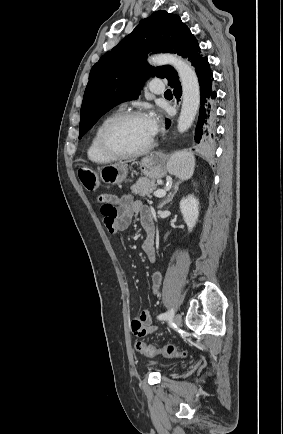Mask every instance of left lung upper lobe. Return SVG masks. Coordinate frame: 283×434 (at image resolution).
I'll use <instances>...</instances> for the list:
<instances>
[{
	"label": "left lung upper lobe",
	"mask_w": 283,
	"mask_h": 434,
	"mask_svg": "<svg viewBox=\"0 0 283 434\" xmlns=\"http://www.w3.org/2000/svg\"><path fill=\"white\" fill-rule=\"evenodd\" d=\"M176 53L195 68L206 57L198 41L178 15L156 11L92 67L81 106L79 139L99 118L116 105L140 95L149 77L166 78L168 85L179 81L170 66L152 67L147 53Z\"/></svg>",
	"instance_id": "obj_1"
}]
</instances>
